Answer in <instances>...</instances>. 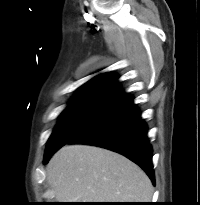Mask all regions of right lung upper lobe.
Wrapping results in <instances>:
<instances>
[{
    "instance_id": "right-lung-upper-lobe-1",
    "label": "right lung upper lobe",
    "mask_w": 200,
    "mask_h": 205,
    "mask_svg": "<svg viewBox=\"0 0 200 205\" xmlns=\"http://www.w3.org/2000/svg\"><path fill=\"white\" fill-rule=\"evenodd\" d=\"M117 76L111 73L100 74L85 83L73 100H99L116 102L125 95L117 83Z\"/></svg>"
}]
</instances>
